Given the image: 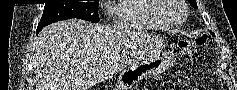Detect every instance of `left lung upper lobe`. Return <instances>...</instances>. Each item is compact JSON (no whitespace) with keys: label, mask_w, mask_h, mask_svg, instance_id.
<instances>
[{"label":"left lung upper lobe","mask_w":237,"mask_h":90,"mask_svg":"<svg viewBox=\"0 0 237 90\" xmlns=\"http://www.w3.org/2000/svg\"><path fill=\"white\" fill-rule=\"evenodd\" d=\"M189 3L191 4V6H193L194 8L197 9V4H196V0H188ZM213 34V33H212ZM214 35V34H213Z\"/></svg>","instance_id":"5c2ea615"}]
</instances>
